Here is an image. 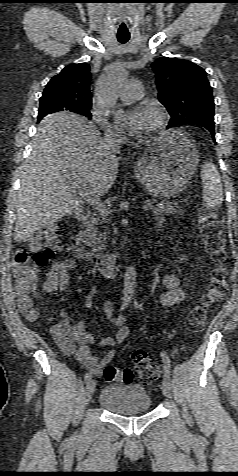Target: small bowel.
I'll use <instances>...</instances> for the list:
<instances>
[{"label":"small bowel","instance_id":"small-bowel-1","mask_svg":"<svg viewBox=\"0 0 238 476\" xmlns=\"http://www.w3.org/2000/svg\"><path fill=\"white\" fill-rule=\"evenodd\" d=\"M76 262L57 261L45 273L42 289L46 293L61 291L68 293L70 289L69 274L76 271ZM166 291L160 296L159 301L165 306H172L181 302L185 297V292L180 288V280L175 275H166L163 278ZM97 296V286L91 285L85 305L90 307ZM112 302L104 305V312L112 310ZM124 317L117 318L113 325L118 327L114 336L105 338L100 342L102 347H114L123 342L129 335V328L124 324ZM52 335L59 347L66 355H74L77 361L91 373L100 376L106 365L113 359L115 351L108 350L102 357L98 356L90 347L95 342L94 334L86 331L85 323L82 320H75L73 317L62 314L60 321L52 327Z\"/></svg>","mask_w":238,"mask_h":476}]
</instances>
